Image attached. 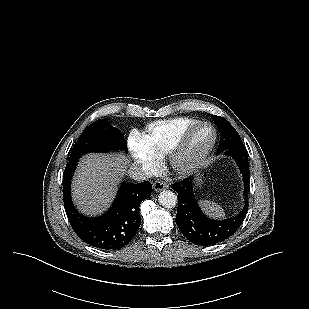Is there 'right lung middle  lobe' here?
Instances as JSON below:
<instances>
[{
  "label": "right lung middle lobe",
  "instance_id": "1",
  "mask_svg": "<svg viewBox=\"0 0 309 309\" xmlns=\"http://www.w3.org/2000/svg\"><path fill=\"white\" fill-rule=\"evenodd\" d=\"M110 150H124L126 152V140L119 129L111 126L107 120L100 119L82 132L72 149L69 161L79 159L89 152Z\"/></svg>",
  "mask_w": 309,
  "mask_h": 309
}]
</instances>
